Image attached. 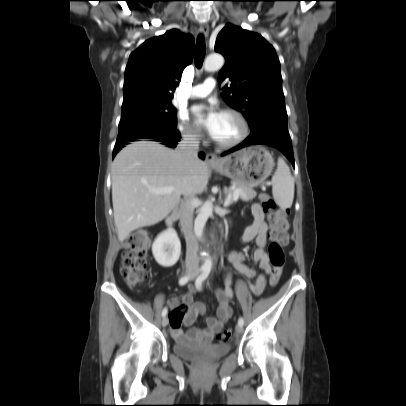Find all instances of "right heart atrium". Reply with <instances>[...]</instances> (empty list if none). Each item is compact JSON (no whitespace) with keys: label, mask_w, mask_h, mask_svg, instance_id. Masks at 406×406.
I'll return each instance as SVG.
<instances>
[{"label":"right heart atrium","mask_w":406,"mask_h":406,"mask_svg":"<svg viewBox=\"0 0 406 406\" xmlns=\"http://www.w3.org/2000/svg\"><path fill=\"white\" fill-rule=\"evenodd\" d=\"M178 130L183 139L190 142H197L201 139V134L191 126L184 115L178 118Z\"/></svg>","instance_id":"right-heart-atrium-1"}]
</instances>
